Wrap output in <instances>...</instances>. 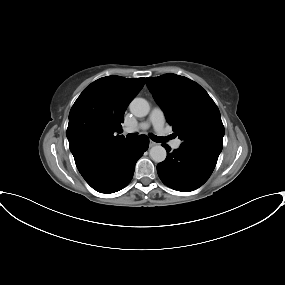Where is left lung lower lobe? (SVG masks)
I'll return each mask as SVG.
<instances>
[{
	"instance_id": "obj_1",
	"label": "left lung lower lobe",
	"mask_w": 285,
	"mask_h": 285,
	"mask_svg": "<svg viewBox=\"0 0 285 285\" xmlns=\"http://www.w3.org/2000/svg\"><path fill=\"white\" fill-rule=\"evenodd\" d=\"M166 159L157 165V172L162 182L170 188L182 192L193 191L202 186L210 177L218 160V156L180 146L170 152Z\"/></svg>"
}]
</instances>
